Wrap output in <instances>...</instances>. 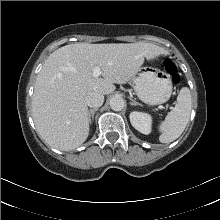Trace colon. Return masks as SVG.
Here are the masks:
<instances>
[{"label":"colon","instance_id":"1","mask_svg":"<svg viewBox=\"0 0 220 220\" xmlns=\"http://www.w3.org/2000/svg\"><path fill=\"white\" fill-rule=\"evenodd\" d=\"M161 62L165 68L167 74L171 77L172 81L176 84L180 81V77L177 71L175 63L168 57H162Z\"/></svg>","mask_w":220,"mask_h":220}]
</instances>
